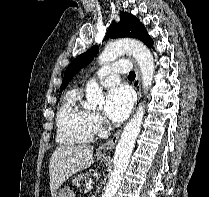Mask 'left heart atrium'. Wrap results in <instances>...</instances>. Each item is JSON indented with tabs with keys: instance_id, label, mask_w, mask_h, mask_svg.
<instances>
[{
	"instance_id": "39dd6f15",
	"label": "left heart atrium",
	"mask_w": 209,
	"mask_h": 197,
	"mask_svg": "<svg viewBox=\"0 0 209 197\" xmlns=\"http://www.w3.org/2000/svg\"><path fill=\"white\" fill-rule=\"evenodd\" d=\"M133 102L134 96L128 87H114L106 95L104 113L113 123H120L129 115Z\"/></svg>"
}]
</instances>
